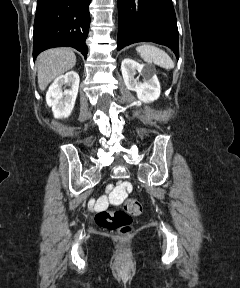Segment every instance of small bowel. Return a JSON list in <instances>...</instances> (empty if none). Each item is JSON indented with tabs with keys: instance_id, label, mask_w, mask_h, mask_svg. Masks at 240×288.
<instances>
[{
	"instance_id": "obj_1",
	"label": "small bowel",
	"mask_w": 240,
	"mask_h": 288,
	"mask_svg": "<svg viewBox=\"0 0 240 288\" xmlns=\"http://www.w3.org/2000/svg\"><path fill=\"white\" fill-rule=\"evenodd\" d=\"M124 187H119L115 190V195L117 197H123L124 196Z\"/></svg>"
}]
</instances>
